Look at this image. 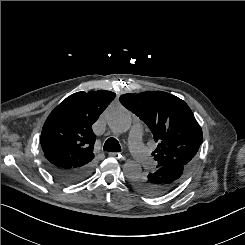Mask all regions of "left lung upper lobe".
<instances>
[{"label":"left lung upper lobe","mask_w":245,"mask_h":245,"mask_svg":"<svg viewBox=\"0 0 245 245\" xmlns=\"http://www.w3.org/2000/svg\"><path fill=\"white\" fill-rule=\"evenodd\" d=\"M121 104L143 120L154 140L152 153L157 168L180 164L189 168L202 143V129L189 106L180 98L162 91L120 96Z\"/></svg>","instance_id":"obj_1"}]
</instances>
